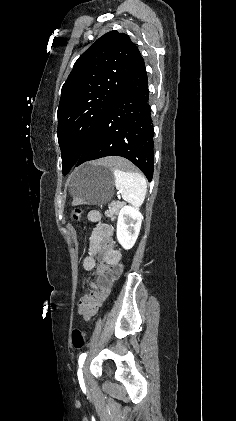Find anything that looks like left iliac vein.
Instances as JSON below:
<instances>
[{
    "label": "left iliac vein",
    "instance_id": "obj_1",
    "mask_svg": "<svg viewBox=\"0 0 236 421\" xmlns=\"http://www.w3.org/2000/svg\"><path fill=\"white\" fill-rule=\"evenodd\" d=\"M88 368H89V361L87 360L85 363H84V365H83V368H82V371H83V377H84V382H85V384H87V382H88Z\"/></svg>",
    "mask_w": 236,
    "mask_h": 421
}]
</instances>
